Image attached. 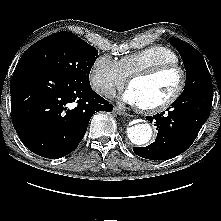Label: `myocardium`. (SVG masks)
<instances>
[{"label": "myocardium", "instance_id": "1", "mask_svg": "<svg viewBox=\"0 0 221 221\" xmlns=\"http://www.w3.org/2000/svg\"><path fill=\"white\" fill-rule=\"evenodd\" d=\"M167 71H177L179 73V77H180L179 84L175 92L169 98H167L165 101L159 104H156L153 106L138 105V109L140 111L145 112V113H150V114H157V113L166 111L171 106H173L177 102V100L181 97L185 89L186 82H187L186 71L179 64L165 63V64H160V65H156V66L144 69V70L137 71L129 77L128 85H131V83L134 80L142 79V78H150V77L156 76L158 74H161Z\"/></svg>", "mask_w": 221, "mask_h": 221}]
</instances>
